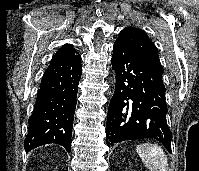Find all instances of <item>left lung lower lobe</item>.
Listing matches in <instances>:
<instances>
[{
    "instance_id": "1",
    "label": "left lung lower lobe",
    "mask_w": 199,
    "mask_h": 171,
    "mask_svg": "<svg viewBox=\"0 0 199 171\" xmlns=\"http://www.w3.org/2000/svg\"><path fill=\"white\" fill-rule=\"evenodd\" d=\"M112 67L116 86L111 98L106 127L107 146L115 143L154 138L171 153L172 133L162 70L141 58L122 43H114Z\"/></svg>"
}]
</instances>
